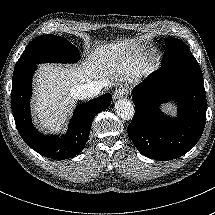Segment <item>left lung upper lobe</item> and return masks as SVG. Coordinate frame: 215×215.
<instances>
[{
    "instance_id": "5c2ea615",
    "label": "left lung upper lobe",
    "mask_w": 215,
    "mask_h": 215,
    "mask_svg": "<svg viewBox=\"0 0 215 215\" xmlns=\"http://www.w3.org/2000/svg\"><path fill=\"white\" fill-rule=\"evenodd\" d=\"M164 42L166 50L162 59V64L192 56L189 47L184 42L176 38H165Z\"/></svg>"
}]
</instances>
